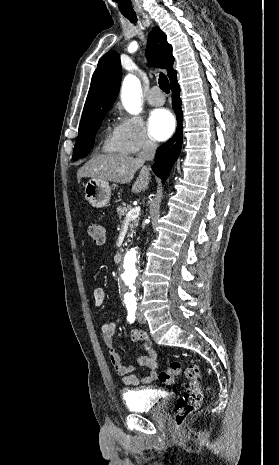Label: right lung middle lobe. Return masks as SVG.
Returning <instances> with one entry per match:
<instances>
[{"label":"right lung middle lobe","mask_w":279,"mask_h":465,"mask_svg":"<svg viewBox=\"0 0 279 465\" xmlns=\"http://www.w3.org/2000/svg\"><path fill=\"white\" fill-rule=\"evenodd\" d=\"M109 109L99 113L89 123L79 127L78 138L73 151V160L87 156L93 146L95 133Z\"/></svg>","instance_id":"1"}]
</instances>
